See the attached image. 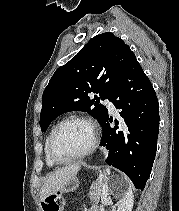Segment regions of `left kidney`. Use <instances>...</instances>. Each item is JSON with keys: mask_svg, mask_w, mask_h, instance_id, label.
I'll use <instances>...</instances> for the list:
<instances>
[{"mask_svg": "<svg viewBox=\"0 0 179 211\" xmlns=\"http://www.w3.org/2000/svg\"><path fill=\"white\" fill-rule=\"evenodd\" d=\"M116 188V183L111 181L110 183H105L102 188L101 202L106 205L110 202V195L112 194V189ZM121 199L117 202L118 207L116 211H132L134 196L131 188H123L119 193Z\"/></svg>", "mask_w": 179, "mask_h": 211, "instance_id": "obj_1", "label": "left kidney"}]
</instances>
